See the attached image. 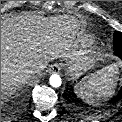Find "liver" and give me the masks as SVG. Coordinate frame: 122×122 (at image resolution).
Listing matches in <instances>:
<instances>
[{
    "label": "liver",
    "instance_id": "obj_1",
    "mask_svg": "<svg viewBox=\"0 0 122 122\" xmlns=\"http://www.w3.org/2000/svg\"><path fill=\"white\" fill-rule=\"evenodd\" d=\"M79 23L72 16L29 13L1 18V97L13 95L39 62L68 57L76 46Z\"/></svg>",
    "mask_w": 122,
    "mask_h": 122
}]
</instances>
